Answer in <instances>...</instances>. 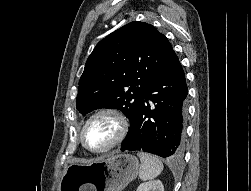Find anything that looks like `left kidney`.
<instances>
[{
	"instance_id": "left-kidney-1",
	"label": "left kidney",
	"mask_w": 251,
	"mask_h": 191,
	"mask_svg": "<svg viewBox=\"0 0 251 191\" xmlns=\"http://www.w3.org/2000/svg\"><path fill=\"white\" fill-rule=\"evenodd\" d=\"M136 191H164V185L160 179H152V181H145L140 183Z\"/></svg>"
}]
</instances>
